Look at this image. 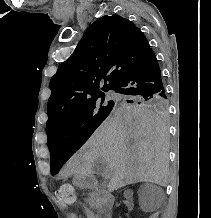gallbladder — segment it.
Returning a JSON list of instances; mask_svg holds the SVG:
<instances>
[{"instance_id":"1","label":"gallbladder","mask_w":211,"mask_h":218,"mask_svg":"<svg viewBox=\"0 0 211 218\" xmlns=\"http://www.w3.org/2000/svg\"><path fill=\"white\" fill-rule=\"evenodd\" d=\"M104 171H106V166H99L98 162L91 166V175H104Z\"/></svg>"}]
</instances>
